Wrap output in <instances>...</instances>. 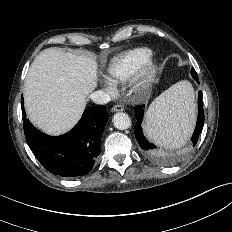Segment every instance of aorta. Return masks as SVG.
Wrapping results in <instances>:
<instances>
[{"label":"aorta","mask_w":232,"mask_h":232,"mask_svg":"<svg viewBox=\"0 0 232 232\" xmlns=\"http://www.w3.org/2000/svg\"><path fill=\"white\" fill-rule=\"evenodd\" d=\"M113 125L119 130H125L131 126V119L128 114L118 112L113 116Z\"/></svg>","instance_id":"1"}]
</instances>
